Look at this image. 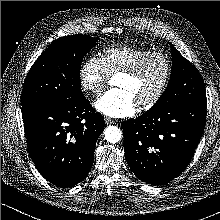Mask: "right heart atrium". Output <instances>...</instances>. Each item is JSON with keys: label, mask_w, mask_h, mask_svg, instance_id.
<instances>
[{"label": "right heart atrium", "mask_w": 220, "mask_h": 220, "mask_svg": "<svg viewBox=\"0 0 220 220\" xmlns=\"http://www.w3.org/2000/svg\"><path fill=\"white\" fill-rule=\"evenodd\" d=\"M109 76L102 58L92 55L80 67V87L84 92L97 96L103 91Z\"/></svg>", "instance_id": "1"}]
</instances>
